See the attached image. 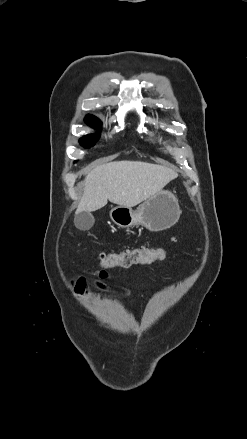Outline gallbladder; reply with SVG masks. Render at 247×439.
<instances>
[{
	"label": "gallbladder",
	"mask_w": 247,
	"mask_h": 439,
	"mask_svg": "<svg viewBox=\"0 0 247 439\" xmlns=\"http://www.w3.org/2000/svg\"><path fill=\"white\" fill-rule=\"evenodd\" d=\"M94 217L90 212H79L74 218L75 226L82 231L89 230L94 224Z\"/></svg>",
	"instance_id": "obj_1"
}]
</instances>
